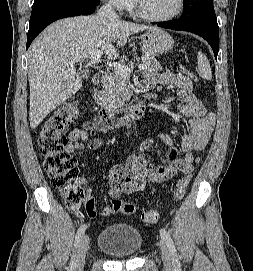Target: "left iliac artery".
Listing matches in <instances>:
<instances>
[{
  "label": "left iliac artery",
  "instance_id": "obj_1",
  "mask_svg": "<svg viewBox=\"0 0 253 271\" xmlns=\"http://www.w3.org/2000/svg\"><path fill=\"white\" fill-rule=\"evenodd\" d=\"M160 235L165 240V242L169 248V251H170L171 257H172V262H173V265H174L176 271H181L178 254H177V251H176V248H175V245L173 243L171 236L169 235V233L165 229H160Z\"/></svg>",
  "mask_w": 253,
  "mask_h": 271
}]
</instances>
